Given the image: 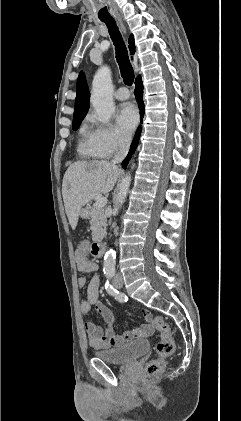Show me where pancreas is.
Returning <instances> with one entry per match:
<instances>
[{"mask_svg":"<svg viewBox=\"0 0 241 421\" xmlns=\"http://www.w3.org/2000/svg\"><path fill=\"white\" fill-rule=\"evenodd\" d=\"M89 216L91 218L90 225L93 239L98 240L103 238L106 234L107 226V220L103 209L93 204Z\"/></svg>","mask_w":241,"mask_h":421,"instance_id":"pancreas-1","label":"pancreas"}]
</instances>
